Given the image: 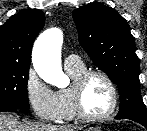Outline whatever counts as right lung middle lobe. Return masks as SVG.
Instances as JSON below:
<instances>
[{
  "label": "right lung middle lobe",
  "instance_id": "1",
  "mask_svg": "<svg viewBox=\"0 0 147 131\" xmlns=\"http://www.w3.org/2000/svg\"><path fill=\"white\" fill-rule=\"evenodd\" d=\"M29 67L0 64V106L29 109L27 93Z\"/></svg>",
  "mask_w": 147,
  "mask_h": 131
}]
</instances>
